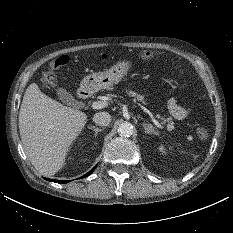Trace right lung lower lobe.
<instances>
[{
	"label": "right lung lower lobe",
	"mask_w": 233,
	"mask_h": 233,
	"mask_svg": "<svg viewBox=\"0 0 233 233\" xmlns=\"http://www.w3.org/2000/svg\"><path fill=\"white\" fill-rule=\"evenodd\" d=\"M95 168H96V166L91 171H89L87 174L83 175V177H87L88 175H90L94 171ZM45 179L48 181H53V182L61 183V184L69 182V181H62V180H52V179H48V178H45Z\"/></svg>",
	"instance_id": "obj_1"
}]
</instances>
